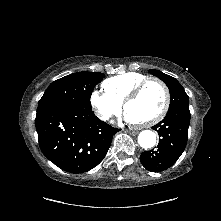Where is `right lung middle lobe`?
I'll list each match as a JSON object with an SVG mask.
<instances>
[{"instance_id": "dd1d6c3e", "label": "right lung middle lobe", "mask_w": 221, "mask_h": 221, "mask_svg": "<svg viewBox=\"0 0 221 221\" xmlns=\"http://www.w3.org/2000/svg\"><path fill=\"white\" fill-rule=\"evenodd\" d=\"M104 77L105 75L99 72H77L52 82L39 100L36 115L63 105L92 109L91 94Z\"/></svg>"}]
</instances>
